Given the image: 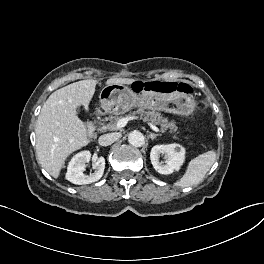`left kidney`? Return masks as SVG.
<instances>
[{"label": "left kidney", "mask_w": 264, "mask_h": 264, "mask_svg": "<svg viewBox=\"0 0 264 264\" xmlns=\"http://www.w3.org/2000/svg\"><path fill=\"white\" fill-rule=\"evenodd\" d=\"M185 153V148L179 144L156 145L151 149L150 159L158 173L167 175L179 170L185 160ZM160 155H165L164 162H160Z\"/></svg>", "instance_id": "left-kidney-1"}]
</instances>
